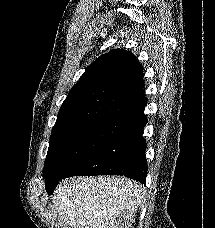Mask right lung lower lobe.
<instances>
[{
	"label": "right lung lower lobe",
	"mask_w": 215,
	"mask_h": 228,
	"mask_svg": "<svg viewBox=\"0 0 215 228\" xmlns=\"http://www.w3.org/2000/svg\"><path fill=\"white\" fill-rule=\"evenodd\" d=\"M146 123L145 117L129 124L75 165L63 178L78 175H121L145 185L148 168L145 158L147 146L142 134Z\"/></svg>",
	"instance_id": "obj_1"
}]
</instances>
